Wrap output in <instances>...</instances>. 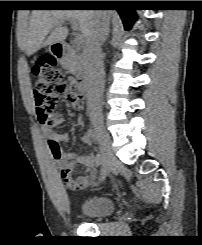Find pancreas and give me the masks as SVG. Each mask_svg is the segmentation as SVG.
Returning a JSON list of instances; mask_svg holds the SVG:
<instances>
[{
    "label": "pancreas",
    "mask_w": 202,
    "mask_h": 245,
    "mask_svg": "<svg viewBox=\"0 0 202 245\" xmlns=\"http://www.w3.org/2000/svg\"><path fill=\"white\" fill-rule=\"evenodd\" d=\"M63 68L71 74H76L82 67V63L75 54H69L61 61Z\"/></svg>",
    "instance_id": "obj_1"
}]
</instances>
